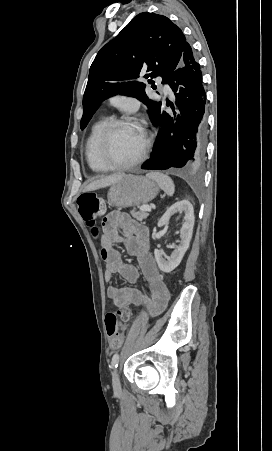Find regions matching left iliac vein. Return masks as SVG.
I'll list each match as a JSON object with an SVG mask.
<instances>
[{
  "mask_svg": "<svg viewBox=\"0 0 272 451\" xmlns=\"http://www.w3.org/2000/svg\"><path fill=\"white\" fill-rule=\"evenodd\" d=\"M112 384H113V389H114V390H118V389H120V387H121L117 370H115V371L113 372V375H112Z\"/></svg>",
  "mask_w": 272,
  "mask_h": 451,
  "instance_id": "left-iliac-vein-1",
  "label": "left iliac vein"
}]
</instances>
